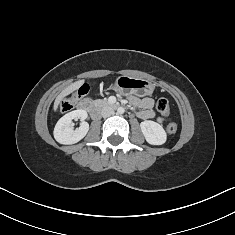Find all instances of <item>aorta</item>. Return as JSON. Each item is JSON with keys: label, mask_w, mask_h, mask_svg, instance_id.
Returning <instances> with one entry per match:
<instances>
[{"label": "aorta", "mask_w": 235, "mask_h": 235, "mask_svg": "<svg viewBox=\"0 0 235 235\" xmlns=\"http://www.w3.org/2000/svg\"><path fill=\"white\" fill-rule=\"evenodd\" d=\"M125 112V109L123 108V107H119L118 109H117V113L118 114H123Z\"/></svg>", "instance_id": "1"}]
</instances>
